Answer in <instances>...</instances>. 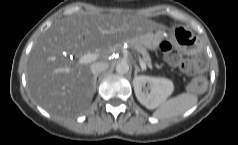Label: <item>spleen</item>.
Returning a JSON list of instances; mask_svg holds the SVG:
<instances>
[{
  "instance_id": "spleen-1",
  "label": "spleen",
  "mask_w": 238,
  "mask_h": 145,
  "mask_svg": "<svg viewBox=\"0 0 238 145\" xmlns=\"http://www.w3.org/2000/svg\"><path fill=\"white\" fill-rule=\"evenodd\" d=\"M198 102L197 95L193 93H182L178 96L172 97L163 101L159 108L154 112L153 116L158 119H168L194 107Z\"/></svg>"
}]
</instances>
